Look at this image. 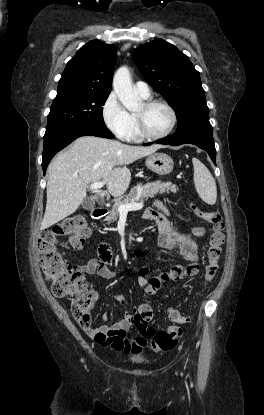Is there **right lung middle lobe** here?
<instances>
[{"label":"right lung middle lobe","mask_w":264,"mask_h":415,"mask_svg":"<svg viewBox=\"0 0 264 415\" xmlns=\"http://www.w3.org/2000/svg\"><path fill=\"white\" fill-rule=\"evenodd\" d=\"M108 96L107 93L57 95L48 114L44 138L80 125L104 126L102 106Z\"/></svg>","instance_id":"dd1d6c3e"}]
</instances>
